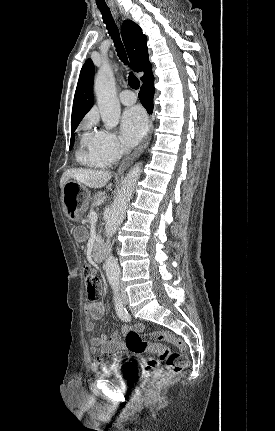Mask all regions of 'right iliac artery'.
<instances>
[{"mask_svg":"<svg viewBox=\"0 0 275 431\" xmlns=\"http://www.w3.org/2000/svg\"><path fill=\"white\" fill-rule=\"evenodd\" d=\"M113 290H114L115 309H116L117 315L123 321H126V322L130 321V315L127 309L125 308V306L123 305L122 299L119 296L118 285H114Z\"/></svg>","mask_w":275,"mask_h":431,"instance_id":"obj_1","label":"right iliac artery"}]
</instances>
